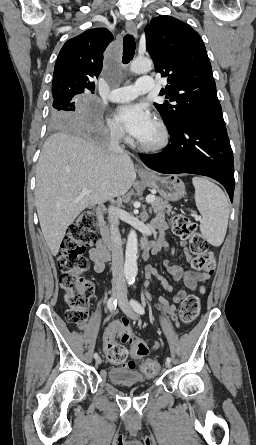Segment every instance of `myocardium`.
Returning <instances> with one entry per match:
<instances>
[{
  "label": "myocardium",
  "instance_id": "f54148a6",
  "mask_svg": "<svg viewBox=\"0 0 256 445\" xmlns=\"http://www.w3.org/2000/svg\"><path fill=\"white\" fill-rule=\"evenodd\" d=\"M157 130L159 132V137L156 141L151 143H145L142 141H137V145L144 151L147 152H158L167 147L170 141V133L166 124L161 120L154 121Z\"/></svg>",
  "mask_w": 256,
  "mask_h": 445
}]
</instances>
